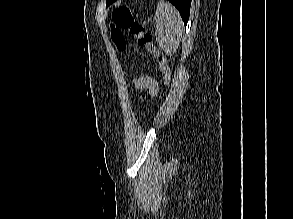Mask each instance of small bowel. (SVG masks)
<instances>
[{"label": "small bowel", "mask_w": 293, "mask_h": 219, "mask_svg": "<svg viewBox=\"0 0 293 219\" xmlns=\"http://www.w3.org/2000/svg\"><path fill=\"white\" fill-rule=\"evenodd\" d=\"M134 84L139 89H147L152 95L158 92L157 82L150 77H140L134 80Z\"/></svg>", "instance_id": "small-bowel-1"}]
</instances>
